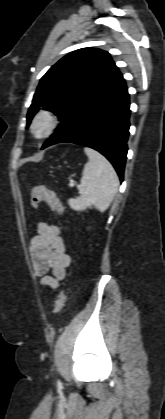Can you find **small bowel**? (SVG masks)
<instances>
[{
  "instance_id": "c3829d8e",
  "label": "small bowel",
  "mask_w": 165,
  "mask_h": 419,
  "mask_svg": "<svg viewBox=\"0 0 165 419\" xmlns=\"http://www.w3.org/2000/svg\"><path fill=\"white\" fill-rule=\"evenodd\" d=\"M29 252L41 284L58 288L60 282L66 278L71 264V257L65 250L59 227L47 222L38 223L37 235L30 241Z\"/></svg>"
}]
</instances>
